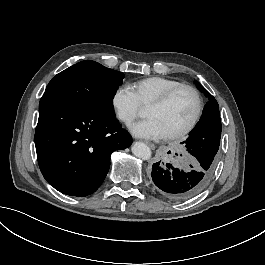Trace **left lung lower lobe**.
I'll use <instances>...</instances> for the list:
<instances>
[{
  "instance_id": "obj_1",
  "label": "left lung lower lobe",
  "mask_w": 265,
  "mask_h": 265,
  "mask_svg": "<svg viewBox=\"0 0 265 265\" xmlns=\"http://www.w3.org/2000/svg\"><path fill=\"white\" fill-rule=\"evenodd\" d=\"M217 152L207 149L201 154L196 153V160L186 169L171 164L163 166L160 162L153 164L152 185L173 201H186L195 197L205 189L214 174Z\"/></svg>"
}]
</instances>
